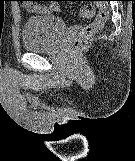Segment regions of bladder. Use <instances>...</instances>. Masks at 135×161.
Masks as SVG:
<instances>
[{"instance_id": "1", "label": "bladder", "mask_w": 135, "mask_h": 161, "mask_svg": "<svg viewBox=\"0 0 135 161\" xmlns=\"http://www.w3.org/2000/svg\"><path fill=\"white\" fill-rule=\"evenodd\" d=\"M65 30L66 24L61 17H30L22 31L23 46L32 52L50 50L55 47Z\"/></svg>"}]
</instances>
